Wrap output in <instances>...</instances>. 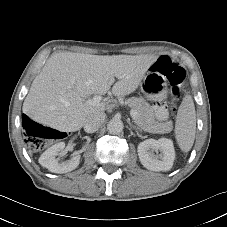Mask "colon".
<instances>
[{
    "mask_svg": "<svg viewBox=\"0 0 227 227\" xmlns=\"http://www.w3.org/2000/svg\"><path fill=\"white\" fill-rule=\"evenodd\" d=\"M152 69L167 78L171 85L172 94L176 97L186 77L185 69L173 62L168 56L159 57L153 64ZM172 108H175L174 102H172ZM25 129L28 135V146L33 150L41 149L45 140L56 137V132L53 129L44 127L33 121H27L25 123Z\"/></svg>",
    "mask_w": 227,
    "mask_h": 227,
    "instance_id": "5ec220e1",
    "label": "colon"
}]
</instances>
